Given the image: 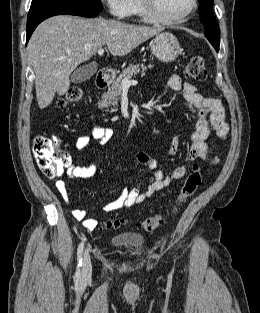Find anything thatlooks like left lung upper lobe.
Wrapping results in <instances>:
<instances>
[{
	"instance_id": "5c2ea615",
	"label": "left lung upper lobe",
	"mask_w": 260,
	"mask_h": 313,
	"mask_svg": "<svg viewBox=\"0 0 260 313\" xmlns=\"http://www.w3.org/2000/svg\"><path fill=\"white\" fill-rule=\"evenodd\" d=\"M201 8L200 18L206 29L205 35L209 42L219 50V26L213 14V2L214 0H199Z\"/></svg>"
}]
</instances>
